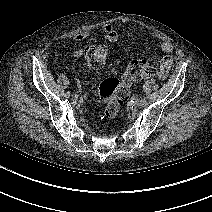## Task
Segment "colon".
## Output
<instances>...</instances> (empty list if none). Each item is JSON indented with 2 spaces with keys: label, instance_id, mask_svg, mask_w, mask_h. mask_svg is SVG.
<instances>
[{
  "label": "colon",
  "instance_id": "1",
  "mask_svg": "<svg viewBox=\"0 0 212 212\" xmlns=\"http://www.w3.org/2000/svg\"><path fill=\"white\" fill-rule=\"evenodd\" d=\"M108 58V49L104 45H94L87 48L84 53L86 68L103 67ZM158 76V71L147 60L138 59L131 61L123 71L121 80L108 77L99 86V93L104 100V112L108 119L118 117L121 107L128 99L131 87L137 82Z\"/></svg>",
  "mask_w": 212,
  "mask_h": 212
}]
</instances>
